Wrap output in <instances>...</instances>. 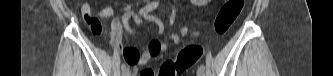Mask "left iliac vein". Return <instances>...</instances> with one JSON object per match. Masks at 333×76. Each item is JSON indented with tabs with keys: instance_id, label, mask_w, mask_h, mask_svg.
Here are the masks:
<instances>
[{
	"instance_id": "obj_1",
	"label": "left iliac vein",
	"mask_w": 333,
	"mask_h": 76,
	"mask_svg": "<svg viewBox=\"0 0 333 76\" xmlns=\"http://www.w3.org/2000/svg\"><path fill=\"white\" fill-rule=\"evenodd\" d=\"M197 76H205L204 70L198 69Z\"/></svg>"
}]
</instances>
